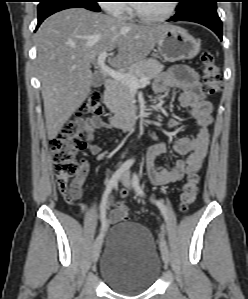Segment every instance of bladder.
<instances>
[{
	"instance_id": "bladder-1",
	"label": "bladder",
	"mask_w": 248,
	"mask_h": 299,
	"mask_svg": "<svg viewBox=\"0 0 248 299\" xmlns=\"http://www.w3.org/2000/svg\"><path fill=\"white\" fill-rule=\"evenodd\" d=\"M161 273L152 234L133 222L114 225L100 259V276L115 291L135 295L150 289Z\"/></svg>"
}]
</instances>
